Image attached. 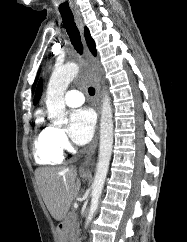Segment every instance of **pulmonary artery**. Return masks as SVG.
<instances>
[{"label": "pulmonary artery", "mask_w": 187, "mask_h": 242, "mask_svg": "<svg viewBox=\"0 0 187 242\" xmlns=\"http://www.w3.org/2000/svg\"><path fill=\"white\" fill-rule=\"evenodd\" d=\"M65 103L70 107H76L84 102L83 94L78 90H69L65 94Z\"/></svg>", "instance_id": "1"}]
</instances>
